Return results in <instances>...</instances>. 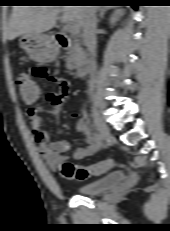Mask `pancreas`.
Instances as JSON below:
<instances>
[{"label": "pancreas", "instance_id": "1", "mask_svg": "<svg viewBox=\"0 0 170 231\" xmlns=\"http://www.w3.org/2000/svg\"><path fill=\"white\" fill-rule=\"evenodd\" d=\"M81 48L79 47V45L75 44L69 52H67L66 55V67L68 69H74L76 68L77 64L80 61L81 58Z\"/></svg>", "mask_w": 170, "mask_h": 231}]
</instances>
